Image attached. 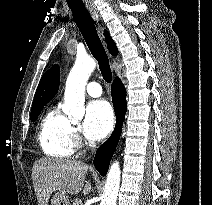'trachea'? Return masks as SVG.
<instances>
[{"label": "trachea", "mask_w": 212, "mask_h": 205, "mask_svg": "<svg viewBox=\"0 0 212 205\" xmlns=\"http://www.w3.org/2000/svg\"><path fill=\"white\" fill-rule=\"evenodd\" d=\"M68 6L73 13L75 22L83 35L91 54L98 61L103 79L107 83H110L112 80V73L109 60L88 10L84 4L73 5L68 3Z\"/></svg>", "instance_id": "3493384b"}]
</instances>
